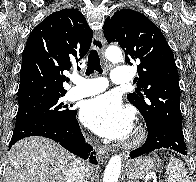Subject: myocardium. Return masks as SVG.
<instances>
[{
    "mask_svg": "<svg viewBox=\"0 0 196 182\" xmlns=\"http://www.w3.org/2000/svg\"><path fill=\"white\" fill-rule=\"evenodd\" d=\"M143 137H144V134H143L142 130L140 128H138L134 132V134H133L130 142L128 143V145L134 146V145L139 144L143 140Z\"/></svg>",
    "mask_w": 196,
    "mask_h": 182,
    "instance_id": "myocardium-1",
    "label": "myocardium"
}]
</instances>
